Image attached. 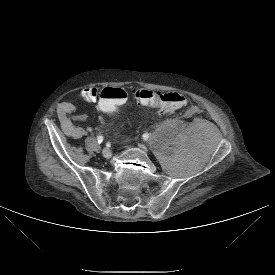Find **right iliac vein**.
<instances>
[{
	"label": "right iliac vein",
	"mask_w": 275,
	"mask_h": 275,
	"mask_svg": "<svg viewBox=\"0 0 275 275\" xmlns=\"http://www.w3.org/2000/svg\"><path fill=\"white\" fill-rule=\"evenodd\" d=\"M112 154L111 150L109 148H104L102 150V155L105 157V158H108L110 157Z\"/></svg>",
	"instance_id": "1"
}]
</instances>
